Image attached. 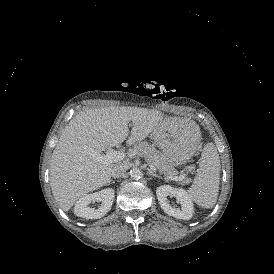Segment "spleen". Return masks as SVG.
Returning <instances> with one entry per match:
<instances>
[{
  "label": "spleen",
  "instance_id": "3e777b00",
  "mask_svg": "<svg viewBox=\"0 0 274 274\" xmlns=\"http://www.w3.org/2000/svg\"><path fill=\"white\" fill-rule=\"evenodd\" d=\"M220 169L217 149L213 143H208L203 148L199 169L188 190V196L193 202L204 208L214 206L219 192Z\"/></svg>",
  "mask_w": 274,
  "mask_h": 274
}]
</instances>
